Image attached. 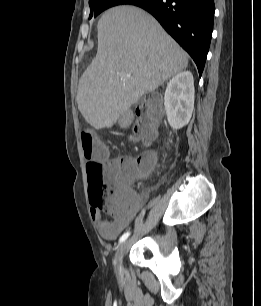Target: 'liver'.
I'll return each mask as SVG.
<instances>
[{
  "mask_svg": "<svg viewBox=\"0 0 261 306\" xmlns=\"http://www.w3.org/2000/svg\"><path fill=\"white\" fill-rule=\"evenodd\" d=\"M97 55L79 80L77 103L94 128H111L144 94L188 67V55L154 17L134 6L98 21Z\"/></svg>",
  "mask_w": 261,
  "mask_h": 306,
  "instance_id": "6515ba94",
  "label": "liver"
}]
</instances>
